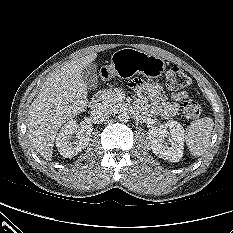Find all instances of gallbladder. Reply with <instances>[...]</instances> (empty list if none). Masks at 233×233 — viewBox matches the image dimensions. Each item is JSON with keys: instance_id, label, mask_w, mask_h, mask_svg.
I'll use <instances>...</instances> for the list:
<instances>
[{"instance_id": "bac80fb5", "label": "gallbladder", "mask_w": 233, "mask_h": 233, "mask_svg": "<svg viewBox=\"0 0 233 233\" xmlns=\"http://www.w3.org/2000/svg\"><path fill=\"white\" fill-rule=\"evenodd\" d=\"M81 77L87 88H96L98 82L97 65L94 62H91L84 66L81 72Z\"/></svg>"}]
</instances>
